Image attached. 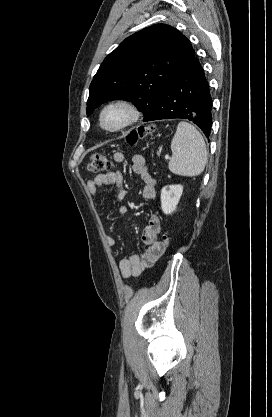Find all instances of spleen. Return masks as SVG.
Segmentation results:
<instances>
[{
    "label": "spleen",
    "instance_id": "obj_1",
    "mask_svg": "<svg viewBox=\"0 0 272 417\" xmlns=\"http://www.w3.org/2000/svg\"><path fill=\"white\" fill-rule=\"evenodd\" d=\"M171 151L168 167L172 173L192 177L203 172L208 156L205 141L190 123L181 121L178 124Z\"/></svg>",
    "mask_w": 272,
    "mask_h": 417
}]
</instances>
